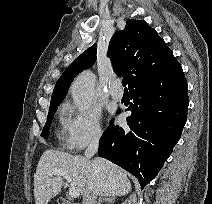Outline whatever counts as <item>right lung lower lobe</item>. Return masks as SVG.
<instances>
[{"mask_svg": "<svg viewBox=\"0 0 212 204\" xmlns=\"http://www.w3.org/2000/svg\"><path fill=\"white\" fill-rule=\"evenodd\" d=\"M130 98L134 103L126 109L132 111L127 125L110 122L99 156L136 176L144 188L172 153L186 123L189 100L182 68L132 88Z\"/></svg>", "mask_w": 212, "mask_h": 204, "instance_id": "98d812e1", "label": "right lung lower lobe"}]
</instances>
